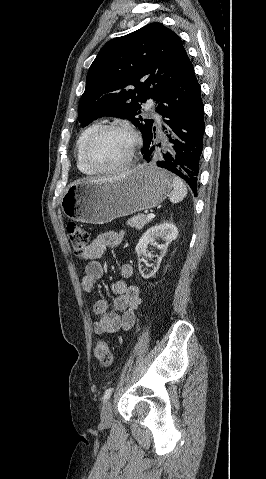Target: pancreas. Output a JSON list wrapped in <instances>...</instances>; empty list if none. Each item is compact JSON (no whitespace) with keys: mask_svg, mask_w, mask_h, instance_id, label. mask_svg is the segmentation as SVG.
<instances>
[{"mask_svg":"<svg viewBox=\"0 0 266 479\" xmlns=\"http://www.w3.org/2000/svg\"><path fill=\"white\" fill-rule=\"evenodd\" d=\"M151 219H148L144 214H137L136 216L131 217L127 220V224L138 230H141Z\"/></svg>","mask_w":266,"mask_h":479,"instance_id":"obj_1","label":"pancreas"}]
</instances>
